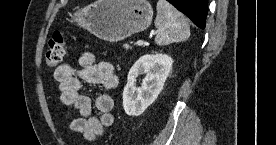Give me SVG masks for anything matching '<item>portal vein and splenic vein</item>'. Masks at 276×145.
I'll list each match as a JSON object with an SVG mask.
<instances>
[{"label":"portal vein and splenic vein","instance_id":"1","mask_svg":"<svg viewBox=\"0 0 276 145\" xmlns=\"http://www.w3.org/2000/svg\"><path fill=\"white\" fill-rule=\"evenodd\" d=\"M143 44H144V41H142V40H138L136 42V45H138V46H142Z\"/></svg>","mask_w":276,"mask_h":145}]
</instances>
